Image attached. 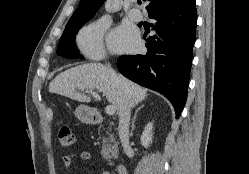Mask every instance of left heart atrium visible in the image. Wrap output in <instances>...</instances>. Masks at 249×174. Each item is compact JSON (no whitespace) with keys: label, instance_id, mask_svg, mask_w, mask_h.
<instances>
[{"label":"left heart atrium","instance_id":"39dd6f15","mask_svg":"<svg viewBox=\"0 0 249 174\" xmlns=\"http://www.w3.org/2000/svg\"><path fill=\"white\" fill-rule=\"evenodd\" d=\"M109 44L116 51L133 50L137 45V37L129 29L120 28L111 33Z\"/></svg>","mask_w":249,"mask_h":174}]
</instances>
